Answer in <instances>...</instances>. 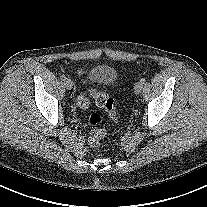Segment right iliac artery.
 <instances>
[{"label": "right iliac artery", "instance_id": "obj_1", "mask_svg": "<svg viewBox=\"0 0 207 207\" xmlns=\"http://www.w3.org/2000/svg\"><path fill=\"white\" fill-rule=\"evenodd\" d=\"M60 79L63 80V81H65L66 80V76L65 75H61L60 76Z\"/></svg>", "mask_w": 207, "mask_h": 207}]
</instances>
